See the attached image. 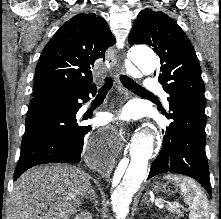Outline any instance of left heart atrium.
Wrapping results in <instances>:
<instances>
[{
    "label": "left heart atrium",
    "mask_w": 221,
    "mask_h": 219,
    "mask_svg": "<svg viewBox=\"0 0 221 219\" xmlns=\"http://www.w3.org/2000/svg\"><path fill=\"white\" fill-rule=\"evenodd\" d=\"M130 117V114L127 110H123L120 114L116 116V119L119 121H125Z\"/></svg>",
    "instance_id": "left-heart-atrium-1"
}]
</instances>
